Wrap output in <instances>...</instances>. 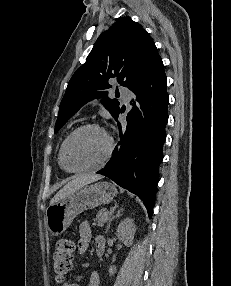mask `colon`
Segmentation results:
<instances>
[{
    "mask_svg": "<svg viewBox=\"0 0 231 286\" xmlns=\"http://www.w3.org/2000/svg\"><path fill=\"white\" fill-rule=\"evenodd\" d=\"M74 250V242L69 239H60L57 242L53 255V268L59 282L63 281L72 269Z\"/></svg>",
    "mask_w": 231,
    "mask_h": 286,
    "instance_id": "5ec220e1",
    "label": "colon"
}]
</instances>
